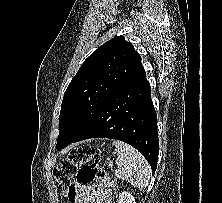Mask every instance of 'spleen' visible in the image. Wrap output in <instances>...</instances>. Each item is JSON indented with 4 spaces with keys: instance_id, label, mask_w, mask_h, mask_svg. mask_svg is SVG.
Masks as SVG:
<instances>
[{
    "instance_id": "3e777b00",
    "label": "spleen",
    "mask_w": 222,
    "mask_h": 203,
    "mask_svg": "<svg viewBox=\"0 0 222 203\" xmlns=\"http://www.w3.org/2000/svg\"><path fill=\"white\" fill-rule=\"evenodd\" d=\"M116 147L118 165L115 175L122 180H126L132 186L139 189L145 188L151 178V168L144 156L132 146L119 141H113Z\"/></svg>"
}]
</instances>
